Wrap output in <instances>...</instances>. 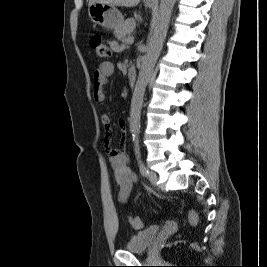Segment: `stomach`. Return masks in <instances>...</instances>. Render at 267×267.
<instances>
[{
    "label": "stomach",
    "instance_id": "stomach-1",
    "mask_svg": "<svg viewBox=\"0 0 267 267\" xmlns=\"http://www.w3.org/2000/svg\"><path fill=\"white\" fill-rule=\"evenodd\" d=\"M147 6L152 8L154 3L148 2ZM88 14L93 23L105 29H117L124 22L120 11L112 5L94 3L89 6Z\"/></svg>",
    "mask_w": 267,
    "mask_h": 267
}]
</instances>
